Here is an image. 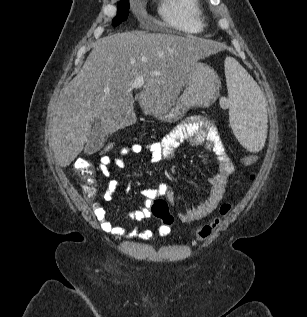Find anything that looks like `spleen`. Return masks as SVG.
Instances as JSON below:
<instances>
[{
	"label": "spleen",
	"instance_id": "spleen-1",
	"mask_svg": "<svg viewBox=\"0 0 307 317\" xmlns=\"http://www.w3.org/2000/svg\"><path fill=\"white\" fill-rule=\"evenodd\" d=\"M225 75L231 102L229 120L240 144L259 152L267 133V112L263 93L248 72L234 58L225 59Z\"/></svg>",
	"mask_w": 307,
	"mask_h": 317
}]
</instances>
